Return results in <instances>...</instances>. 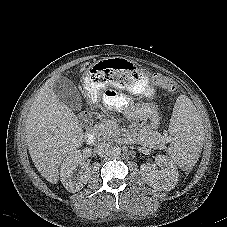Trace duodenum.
<instances>
[{
    "label": "duodenum",
    "instance_id": "obj_1",
    "mask_svg": "<svg viewBox=\"0 0 227 227\" xmlns=\"http://www.w3.org/2000/svg\"><path fill=\"white\" fill-rule=\"evenodd\" d=\"M87 144L93 145L96 142V132L93 129H88L85 133Z\"/></svg>",
    "mask_w": 227,
    "mask_h": 227
}]
</instances>
